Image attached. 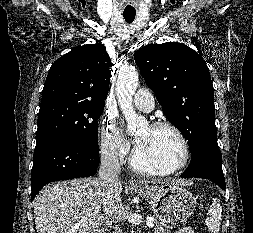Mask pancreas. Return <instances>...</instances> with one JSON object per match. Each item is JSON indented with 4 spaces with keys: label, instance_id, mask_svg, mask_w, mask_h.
Here are the masks:
<instances>
[{
    "label": "pancreas",
    "instance_id": "cf45deb5",
    "mask_svg": "<svg viewBox=\"0 0 253 233\" xmlns=\"http://www.w3.org/2000/svg\"><path fill=\"white\" fill-rule=\"evenodd\" d=\"M171 230H172L171 226L162 225L157 221L155 222V227L153 229L154 233H172ZM118 231L120 232V229H118ZM119 232H115V233H119Z\"/></svg>",
    "mask_w": 253,
    "mask_h": 233
}]
</instances>
